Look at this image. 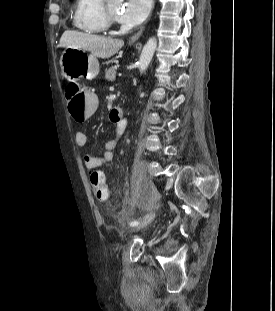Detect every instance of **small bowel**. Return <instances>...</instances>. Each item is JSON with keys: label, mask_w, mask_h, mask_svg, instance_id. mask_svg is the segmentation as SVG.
Here are the masks:
<instances>
[{"label": "small bowel", "mask_w": 275, "mask_h": 311, "mask_svg": "<svg viewBox=\"0 0 275 311\" xmlns=\"http://www.w3.org/2000/svg\"><path fill=\"white\" fill-rule=\"evenodd\" d=\"M97 108V107H96ZM122 110H117L108 114L105 120L106 126H114L112 136L104 144V151L100 156L85 155L84 164L88 169H96L110 162L113 158V150L123 135L126 128V121L123 119ZM75 143L78 147H84L87 144V136L82 130H77L75 133Z\"/></svg>", "instance_id": "small-bowel-1"}]
</instances>
